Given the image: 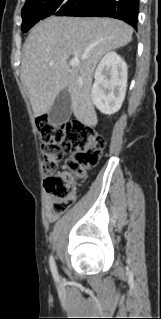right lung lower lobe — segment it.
Listing matches in <instances>:
<instances>
[{"label": "right lung lower lobe", "instance_id": "1", "mask_svg": "<svg viewBox=\"0 0 161 319\" xmlns=\"http://www.w3.org/2000/svg\"><path fill=\"white\" fill-rule=\"evenodd\" d=\"M139 0H86L78 9L66 16L112 17L136 28Z\"/></svg>", "mask_w": 161, "mask_h": 319}]
</instances>
